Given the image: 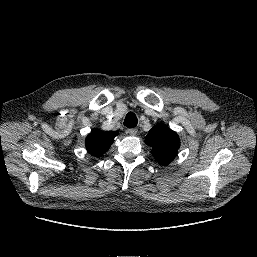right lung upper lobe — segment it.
I'll return each instance as SVG.
<instances>
[{
	"label": "right lung upper lobe",
	"instance_id": "1",
	"mask_svg": "<svg viewBox=\"0 0 257 257\" xmlns=\"http://www.w3.org/2000/svg\"><path fill=\"white\" fill-rule=\"evenodd\" d=\"M117 135L115 131H93L85 140L86 148L92 156L99 157L109 149Z\"/></svg>",
	"mask_w": 257,
	"mask_h": 257
}]
</instances>
